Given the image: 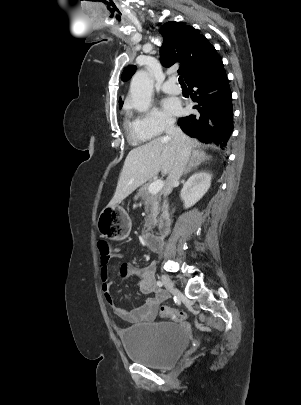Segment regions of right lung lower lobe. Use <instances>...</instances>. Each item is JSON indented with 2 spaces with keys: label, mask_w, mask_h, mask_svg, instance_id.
Masks as SVG:
<instances>
[{
  "label": "right lung lower lobe",
  "mask_w": 301,
  "mask_h": 405,
  "mask_svg": "<svg viewBox=\"0 0 301 405\" xmlns=\"http://www.w3.org/2000/svg\"><path fill=\"white\" fill-rule=\"evenodd\" d=\"M196 114L180 118L178 125L188 135L225 148L233 132V106L222 59L188 82ZM194 92V94H192Z\"/></svg>",
  "instance_id": "right-lung-lower-lobe-1"
}]
</instances>
